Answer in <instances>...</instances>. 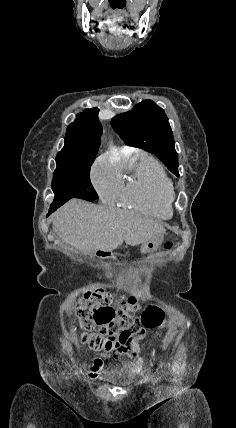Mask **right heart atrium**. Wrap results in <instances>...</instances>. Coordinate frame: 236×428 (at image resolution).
Instances as JSON below:
<instances>
[{"instance_id": "right-heart-atrium-1", "label": "right heart atrium", "mask_w": 236, "mask_h": 428, "mask_svg": "<svg viewBox=\"0 0 236 428\" xmlns=\"http://www.w3.org/2000/svg\"><path fill=\"white\" fill-rule=\"evenodd\" d=\"M91 183L103 203L111 204L119 200L123 191V181L118 170L101 157L94 162L90 172Z\"/></svg>"}]
</instances>
